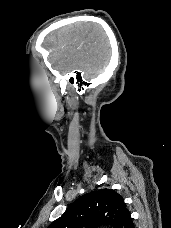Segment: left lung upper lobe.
Returning a JSON list of instances; mask_svg holds the SVG:
<instances>
[{
	"label": "left lung upper lobe",
	"instance_id": "obj_1",
	"mask_svg": "<svg viewBox=\"0 0 171 228\" xmlns=\"http://www.w3.org/2000/svg\"><path fill=\"white\" fill-rule=\"evenodd\" d=\"M130 219L123 197L115 190L101 189L78 198L48 228H95L100 225L125 228Z\"/></svg>",
	"mask_w": 171,
	"mask_h": 228
}]
</instances>
